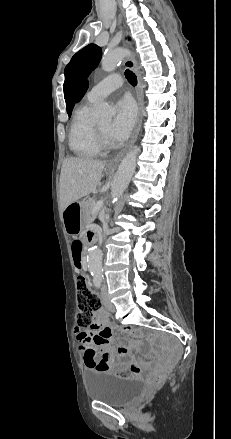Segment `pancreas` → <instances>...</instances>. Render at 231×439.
<instances>
[{"mask_svg": "<svg viewBox=\"0 0 231 439\" xmlns=\"http://www.w3.org/2000/svg\"><path fill=\"white\" fill-rule=\"evenodd\" d=\"M96 205V201L93 198H89L82 204V215L86 222H92L98 211L96 213H93L92 210Z\"/></svg>", "mask_w": 231, "mask_h": 439, "instance_id": "cf45deb5", "label": "pancreas"}]
</instances>
